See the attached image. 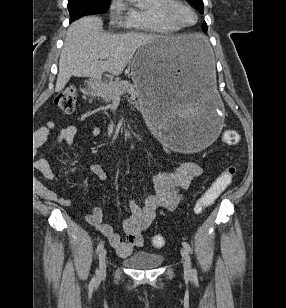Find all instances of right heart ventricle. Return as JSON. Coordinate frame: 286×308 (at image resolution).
Masks as SVG:
<instances>
[{
  "label": "right heart ventricle",
  "instance_id": "obj_1",
  "mask_svg": "<svg viewBox=\"0 0 286 308\" xmlns=\"http://www.w3.org/2000/svg\"><path fill=\"white\" fill-rule=\"evenodd\" d=\"M165 2L166 0H150V5L146 8H131L128 27L134 31L154 34H171L180 31V27L159 14L158 8Z\"/></svg>",
  "mask_w": 286,
  "mask_h": 308
}]
</instances>
